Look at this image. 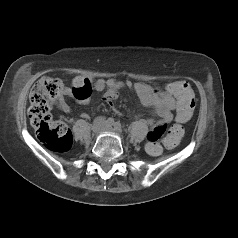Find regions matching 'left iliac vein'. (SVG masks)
I'll list each match as a JSON object with an SVG mask.
<instances>
[{"mask_svg":"<svg viewBox=\"0 0 238 238\" xmlns=\"http://www.w3.org/2000/svg\"><path fill=\"white\" fill-rule=\"evenodd\" d=\"M106 130L109 131V132L114 131V129L112 127H107Z\"/></svg>","mask_w":238,"mask_h":238,"instance_id":"obj_1","label":"left iliac vein"}]
</instances>
